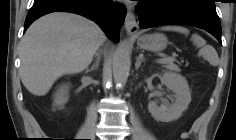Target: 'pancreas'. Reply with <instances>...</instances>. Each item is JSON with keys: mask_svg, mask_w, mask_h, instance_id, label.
Masks as SVG:
<instances>
[{"mask_svg": "<svg viewBox=\"0 0 236 140\" xmlns=\"http://www.w3.org/2000/svg\"><path fill=\"white\" fill-rule=\"evenodd\" d=\"M162 64L165 65V67L171 71H180V68L178 67V65L174 64L173 62H162Z\"/></svg>", "mask_w": 236, "mask_h": 140, "instance_id": "cf45deb5", "label": "pancreas"}]
</instances>
